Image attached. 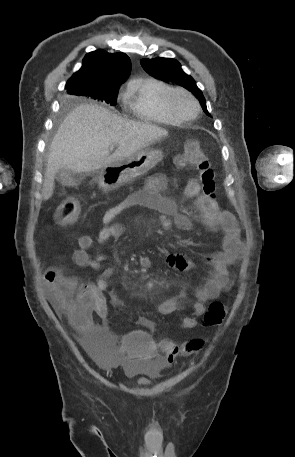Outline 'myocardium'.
<instances>
[{
  "mask_svg": "<svg viewBox=\"0 0 295 457\" xmlns=\"http://www.w3.org/2000/svg\"><path fill=\"white\" fill-rule=\"evenodd\" d=\"M179 95L189 98L195 107V111L191 116H184L180 114L175 107V98ZM164 101L168 111L180 122H188L195 119L200 112V104L197 98L188 90L183 88H171L164 96Z\"/></svg>",
  "mask_w": 295,
  "mask_h": 457,
  "instance_id": "f54148a6",
  "label": "myocardium"
}]
</instances>
